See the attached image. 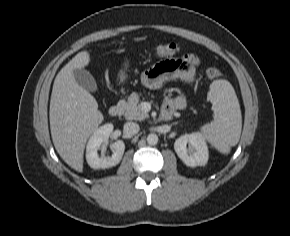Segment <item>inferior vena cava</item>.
I'll return each mask as SVG.
<instances>
[{
	"label": "inferior vena cava",
	"mask_w": 290,
	"mask_h": 236,
	"mask_svg": "<svg viewBox=\"0 0 290 236\" xmlns=\"http://www.w3.org/2000/svg\"><path fill=\"white\" fill-rule=\"evenodd\" d=\"M139 130H140V127L135 122H127V123L124 124V131L127 134L134 135V134L138 133Z\"/></svg>",
	"instance_id": "inferior-vena-cava-1"
}]
</instances>
